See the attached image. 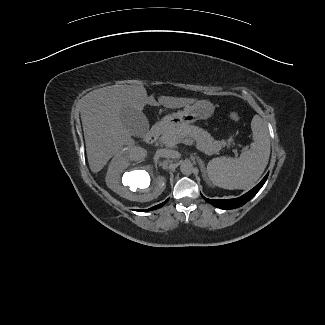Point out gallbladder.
I'll return each instance as SVG.
<instances>
[{
  "label": "gallbladder",
  "mask_w": 325,
  "mask_h": 325,
  "mask_svg": "<svg viewBox=\"0 0 325 325\" xmlns=\"http://www.w3.org/2000/svg\"><path fill=\"white\" fill-rule=\"evenodd\" d=\"M120 118L123 125L133 136L143 138L146 135L149 123L142 112L127 107L121 111Z\"/></svg>",
  "instance_id": "bac80fb5"
}]
</instances>
